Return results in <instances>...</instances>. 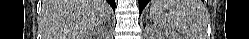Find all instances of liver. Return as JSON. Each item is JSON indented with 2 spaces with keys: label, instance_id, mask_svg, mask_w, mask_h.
<instances>
[{
  "label": "liver",
  "instance_id": "obj_1",
  "mask_svg": "<svg viewBox=\"0 0 249 39\" xmlns=\"http://www.w3.org/2000/svg\"><path fill=\"white\" fill-rule=\"evenodd\" d=\"M110 12L106 0H42V37L88 39Z\"/></svg>",
  "mask_w": 249,
  "mask_h": 39
}]
</instances>
